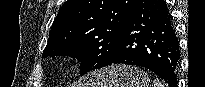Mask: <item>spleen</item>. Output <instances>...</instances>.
<instances>
[{
    "instance_id": "3e777b00",
    "label": "spleen",
    "mask_w": 205,
    "mask_h": 87,
    "mask_svg": "<svg viewBox=\"0 0 205 87\" xmlns=\"http://www.w3.org/2000/svg\"><path fill=\"white\" fill-rule=\"evenodd\" d=\"M154 87H164V86H163L162 82H160L158 79H156L154 81Z\"/></svg>"
}]
</instances>
